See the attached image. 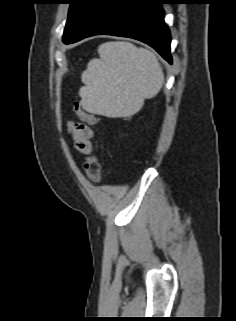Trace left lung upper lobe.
Wrapping results in <instances>:
<instances>
[{
    "mask_svg": "<svg viewBox=\"0 0 236 321\" xmlns=\"http://www.w3.org/2000/svg\"><path fill=\"white\" fill-rule=\"evenodd\" d=\"M96 0H69L70 4L68 19L63 35V42L66 43L74 37L80 29L83 21L95 4Z\"/></svg>",
    "mask_w": 236,
    "mask_h": 321,
    "instance_id": "1",
    "label": "left lung upper lobe"
}]
</instances>
